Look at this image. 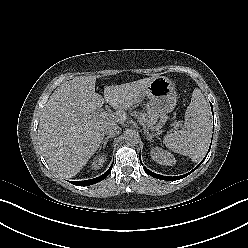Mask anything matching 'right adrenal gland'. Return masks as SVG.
Returning a JSON list of instances; mask_svg holds the SVG:
<instances>
[{
    "label": "right adrenal gland",
    "mask_w": 248,
    "mask_h": 248,
    "mask_svg": "<svg viewBox=\"0 0 248 248\" xmlns=\"http://www.w3.org/2000/svg\"><path fill=\"white\" fill-rule=\"evenodd\" d=\"M110 138H111L110 136L105 137L101 142L100 148L103 147V149H105L107 142L109 141Z\"/></svg>",
    "instance_id": "1"
}]
</instances>
